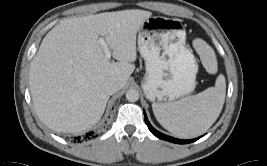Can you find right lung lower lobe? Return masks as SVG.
I'll use <instances>...</instances> for the list:
<instances>
[{
  "mask_svg": "<svg viewBox=\"0 0 267 166\" xmlns=\"http://www.w3.org/2000/svg\"><path fill=\"white\" fill-rule=\"evenodd\" d=\"M87 135H91V132H90L89 134H87ZM87 135H86V136H87ZM80 138H81V137H77L76 140H78V142H79V141H80Z\"/></svg>",
  "mask_w": 267,
  "mask_h": 166,
  "instance_id": "1",
  "label": "right lung lower lobe"
}]
</instances>
